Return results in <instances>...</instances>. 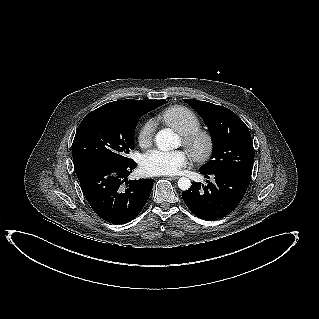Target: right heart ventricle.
Wrapping results in <instances>:
<instances>
[{"label": "right heart ventricle", "mask_w": 319, "mask_h": 319, "mask_svg": "<svg viewBox=\"0 0 319 319\" xmlns=\"http://www.w3.org/2000/svg\"><path fill=\"white\" fill-rule=\"evenodd\" d=\"M161 120L179 134H187L201 126L199 117L188 107L175 105L165 109Z\"/></svg>", "instance_id": "obj_1"}]
</instances>
